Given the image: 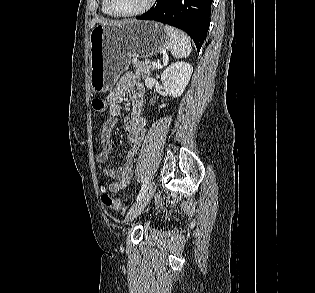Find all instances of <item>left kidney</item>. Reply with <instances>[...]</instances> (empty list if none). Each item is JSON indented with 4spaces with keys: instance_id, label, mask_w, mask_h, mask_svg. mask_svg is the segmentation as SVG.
Returning a JSON list of instances; mask_svg holds the SVG:
<instances>
[{
    "instance_id": "obj_1",
    "label": "left kidney",
    "mask_w": 315,
    "mask_h": 293,
    "mask_svg": "<svg viewBox=\"0 0 315 293\" xmlns=\"http://www.w3.org/2000/svg\"><path fill=\"white\" fill-rule=\"evenodd\" d=\"M193 72V67L186 62L171 64L161 75V81L167 94L176 98L184 92ZM162 104L160 108H164Z\"/></svg>"
}]
</instances>
